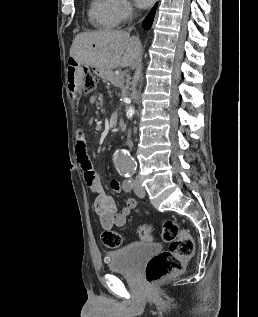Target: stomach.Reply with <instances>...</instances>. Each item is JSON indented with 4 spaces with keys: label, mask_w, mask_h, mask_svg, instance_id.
Here are the masks:
<instances>
[{
    "label": "stomach",
    "mask_w": 258,
    "mask_h": 317,
    "mask_svg": "<svg viewBox=\"0 0 258 317\" xmlns=\"http://www.w3.org/2000/svg\"><path fill=\"white\" fill-rule=\"evenodd\" d=\"M80 70H82V68H84V66H79Z\"/></svg>",
    "instance_id": "obj_1"
}]
</instances>
